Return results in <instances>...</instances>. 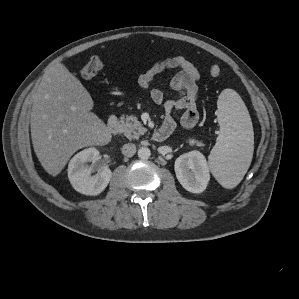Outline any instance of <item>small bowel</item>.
Instances as JSON below:
<instances>
[{
	"label": "small bowel",
	"mask_w": 299,
	"mask_h": 299,
	"mask_svg": "<svg viewBox=\"0 0 299 299\" xmlns=\"http://www.w3.org/2000/svg\"><path fill=\"white\" fill-rule=\"evenodd\" d=\"M167 70H177L170 85L179 97L177 99H166L164 93L159 89H153L150 92L152 100L164 107L166 116L162 126L169 128L172 133L176 127L172 112L181 110L183 111L181 124L187 129H192L199 120L196 100L199 95L198 82L201 74L187 58L182 55H172L158 61L138 75L137 83L142 90H147L153 80Z\"/></svg>",
	"instance_id": "obj_1"
}]
</instances>
